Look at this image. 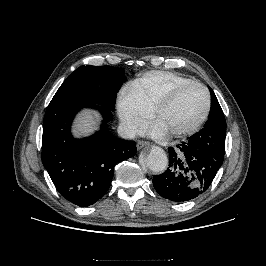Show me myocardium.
<instances>
[{
	"label": "myocardium",
	"instance_id": "obj_1",
	"mask_svg": "<svg viewBox=\"0 0 266 266\" xmlns=\"http://www.w3.org/2000/svg\"><path fill=\"white\" fill-rule=\"evenodd\" d=\"M190 87H198V88L202 89L203 92L205 93V96H206L205 110H204L203 114L200 116V118L196 122H194L192 125H190L186 128L171 132V135H173V136L189 135V134L196 132L204 124V122L207 120V118L210 114V111L212 108V98H211L210 91L203 84H201L199 82L192 81V82H187V83L177 85V86L173 87L170 91H168L159 100V102L154 107V109H153L154 119L157 120V118H158L159 114L162 112V110L165 109L167 106H169L178 97V95L182 91H184L185 89L190 88Z\"/></svg>",
	"mask_w": 266,
	"mask_h": 266
}]
</instances>
